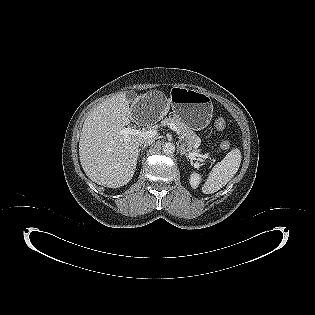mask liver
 Masks as SVG:
<instances>
[{"label":"liver","instance_id":"1","mask_svg":"<svg viewBox=\"0 0 315 315\" xmlns=\"http://www.w3.org/2000/svg\"><path fill=\"white\" fill-rule=\"evenodd\" d=\"M137 97L135 102H138ZM130 101L126 94H117L97 105L84 121L79 156L85 174L95 183L110 188L126 185L133 177L138 158L141 137L129 135L126 139L120 131L133 120ZM169 111V103L161 111L163 118Z\"/></svg>","mask_w":315,"mask_h":315}]
</instances>
